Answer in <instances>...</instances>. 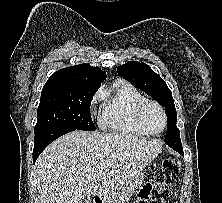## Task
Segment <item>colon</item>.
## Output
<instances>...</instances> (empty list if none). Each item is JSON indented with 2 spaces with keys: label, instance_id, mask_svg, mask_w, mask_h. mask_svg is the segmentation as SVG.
<instances>
[{
  "label": "colon",
  "instance_id": "obj_1",
  "mask_svg": "<svg viewBox=\"0 0 222 203\" xmlns=\"http://www.w3.org/2000/svg\"><path fill=\"white\" fill-rule=\"evenodd\" d=\"M181 170V164L175 158L165 159L152 180L139 193L138 203H166L169 196V186L176 180Z\"/></svg>",
  "mask_w": 222,
  "mask_h": 203
}]
</instances>
